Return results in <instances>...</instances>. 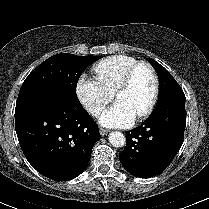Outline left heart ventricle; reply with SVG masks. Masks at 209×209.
<instances>
[{"label":"left heart ventricle","mask_w":209,"mask_h":209,"mask_svg":"<svg viewBox=\"0 0 209 209\" xmlns=\"http://www.w3.org/2000/svg\"><path fill=\"white\" fill-rule=\"evenodd\" d=\"M153 93V78L150 72L143 68L134 76L131 84L118 93L116 99L122 101L137 116L148 105Z\"/></svg>","instance_id":"1"}]
</instances>
